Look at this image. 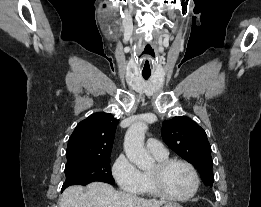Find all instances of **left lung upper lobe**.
I'll return each mask as SVG.
<instances>
[{"label": "left lung upper lobe", "instance_id": "left-lung-upper-lobe-1", "mask_svg": "<svg viewBox=\"0 0 261 207\" xmlns=\"http://www.w3.org/2000/svg\"><path fill=\"white\" fill-rule=\"evenodd\" d=\"M162 137L169 148L198 170L204 184L212 187L213 162L205 131L188 117H174L163 122Z\"/></svg>", "mask_w": 261, "mask_h": 207}]
</instances>
